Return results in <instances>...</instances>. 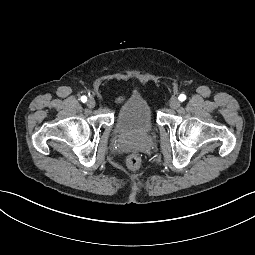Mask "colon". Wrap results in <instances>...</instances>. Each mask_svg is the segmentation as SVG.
Here are the masks:
<instances>
[{"label": "colon", "instance_id": "5ec220e1", "mask_svg": "<svg viewBox=\"0 0 255 255\" xmlns=\"http://www.w3.org/2000/svg\"><path fill=\"white\" fill-rule=\"evenodd\" d=\"M127 165L131 170H137L140 166V159L135 155H131L127 160Z\"/></svg>", "mask_w": 255, "mask_h": 255}]
</instances>
